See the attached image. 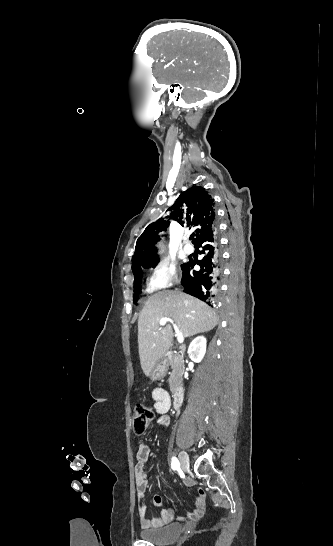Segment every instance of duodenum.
Wrapping results in <instances>:
<instances>
[{
	"label": "duodenum",
	"instance_id": "410a0bca",
	"mask_svg": "<svg viewBox=\"0 0 333 546\" xmlns=\"http://www.w3.org/2000/svg\"><path fill=\"white\" fill-rule=\"evenodd\" d=\"M184 392H185V389H184V386H182V385H179L174 389V392H173V406L175 408L180 407V405L182 404V401H183V398H184Z\"/></svg>",
	"mask_w": 333,
	"mask_h": 546
}]
</instances>
